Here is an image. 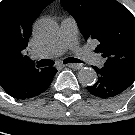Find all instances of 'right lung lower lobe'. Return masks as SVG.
<instances>
[{"instance_id": "obj_1", "label": "right lung lower lobe", "mask_w": 135, "mask_h": 135, "mask_svg": "<svg viewBox=\"0 0 135 135\" xmlns=\"http://www.w3.org/2000/svg\"><path fill=\"white\" fill-rule=\"evenodd\" d=\"M57 70L53 67L24 71L8 83L1 84L4 91L15 99L27 100L44 93L50 86Z\"/></svg>"}]
</instances>
